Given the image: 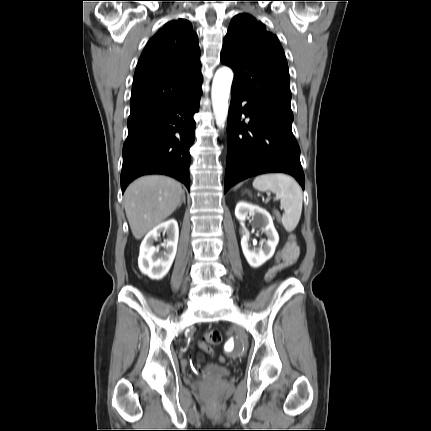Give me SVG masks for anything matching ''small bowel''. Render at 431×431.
Returning <instances> with one entry per match:
<instances>
[{
  "label": "small bowel",
  "instance_id": "1",
  "mask_svg": "<svg viewBox=\"0 0 431 431\" xmlns=\"http://www.w3.org/2000/svg\"><path fill=\"white\" fill-rule=\"evenodd\" d=\"M298 243H300V238H295V240H289L288 244L283 246V256L277 261V263H273L271 265L266 276L267 280H272V278H275L281 273V269L288 267L297 261L300 253Z\"/></svg>",
  "mask_w": 431,
  "mask_h": 431
}]
</instances>
